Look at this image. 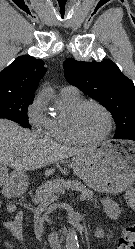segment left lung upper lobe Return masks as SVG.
Instances as JSON below:
<instances>
[{"label":"left lung upper lobe","mask_w":135,"mask_h":249,"mask_svg":"<svg viewBox=\"0 0 135 249\" xmlns=\"http://www.w3.org/2000/svg\"><path fill=\"white\" fill-rule=\"evenodd\" d=\"M64 69L71 85L111 112L117 128L114 138L124 139L135 134V87L113 61L83 62L68 58Z\"/></svg>","instance_id":"left-lung-upper-lobe-1"}]
</instances>
